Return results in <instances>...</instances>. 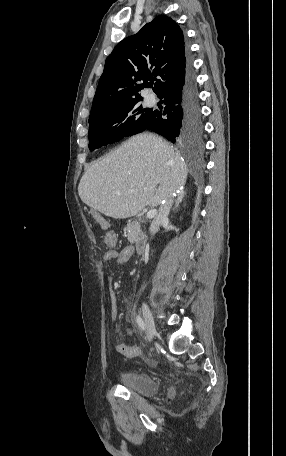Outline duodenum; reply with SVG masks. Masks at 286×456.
Returning a JSON list of instances; mask_svg holds the SVG:
<instances>
[{
  "label": "duodenum",
  "mask_w": 286,
  "mask_h": 456,
  "mask_svg": "<svg viewBox=\"0 0 286 456\" xmlns=\"http://www.w3.org/2000/svg\"><path fill=\"white\" fill-rule=\"evenodd\" d=\"M147 245L146 237L142 236L136 243V250L138 253H143Z\"/></svg>",
  "instance_id": "duodenum-1"
}]
</instances>
